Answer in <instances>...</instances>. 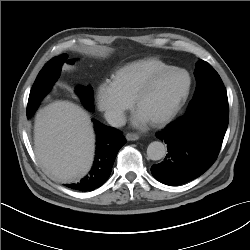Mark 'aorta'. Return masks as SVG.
<instances>
[{
  "instance_id": "obj_1",
  "label": "aorta",
  "mask_w": 250,
  "mask_h": 250,
  "mask_svg": "<svg viewBox=\"0 0 250 250\" xmlns=\"http://www.w3.org/2000/svg\"><path fill=\"white\" fill-rule=\"evenodd\" d=\"M166 155V147L162 142L153 141L148 145L147 156L149 159L157 161Z\"/></svg>"
}]
</instances>
